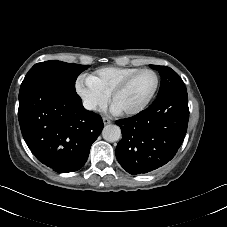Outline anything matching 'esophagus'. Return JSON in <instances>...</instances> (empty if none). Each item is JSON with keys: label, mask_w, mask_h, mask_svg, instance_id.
Segmentation results:
<instances>
[{"label": "esophagus", "mask_w": 227, "mask_h": 227, "mask_svg": "<svg viewBox=\"0 0 227 227\" xmlns=\"http://www.w3.org/2000/svg\"><path fill=\"white\" fill-rule=\"evenodd\" d=\"M103 122L105 125H108V124H111L113 122V120L109 119V118H103Z\"/></svg>", "instance_id": "esophagus-1"}]
</instances>
